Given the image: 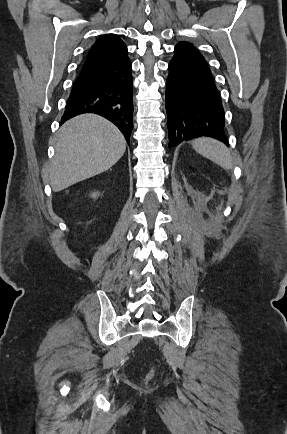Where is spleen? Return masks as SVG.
I'll return each mask as SVG.
<instances>
[{
	"label": "spleen",
	"mask_w": 287,
	"mask_h": 434,
	"mask_svg": "<svg viewBox=\"0 0 287 434\" xmlns=\"http://www.w3.org/2000/svg\"><path fill=\"white\" fill-rule=\"evenodd\" d=\"M192 147L202 156L208 158L226 170L232 169V157L229 149L220 141L212 138H199L193 141Z\"/></svg>",
	"instance_id": "obj_1"
}]
</instances>
